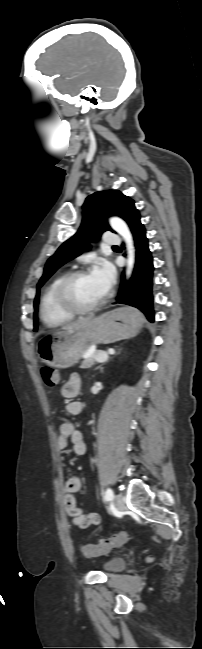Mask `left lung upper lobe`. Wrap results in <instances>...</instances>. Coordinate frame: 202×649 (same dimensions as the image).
<instances>
[{"label":"left lung upper lobe","instance_id":"5c2ea615","mask_svg":"<svg viewBox=\"0 0 202 649\" xmlns=\"http://www.w3.org/2000/svg\"><path fill=\"white\" fill-rule=\"evenodd\" d=\"M120 216L129 225L131 220L140 216L134 201L118 190H105L88 196L83 204V219L77 233L64 242L51 256L44 268V273L37 284L34 300V331L38 328L37 309L39 304L40 287L63 264L80 255L90 248V241L99 238L103 232L111 230L107 217Z\"/></svg>","mask_w":202,"mask_h":649}]
</instances>
